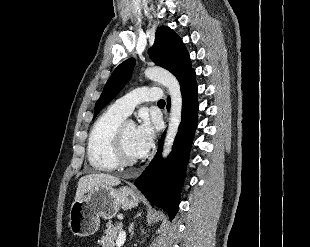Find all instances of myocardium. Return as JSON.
I'll use <instances>...</instances> for the list:
<instances>
[{"label":"myocardium","instance_id":"myocardium-1","mask_svg":"<svg viewBox=\"0 0 310 247\" xmlns=\"http://www.w3.org/2000/svg\"><path fill=\"white\" fill-rule=\"evenodd\" d=\"M126 124V122H123L117 129L114 143V156L118 166L122 167H130L139 162L138 158L129 157L126 153L124 143V131Z\"/></svg>","mask_w":310,"mask_h":247}]
</instances>
